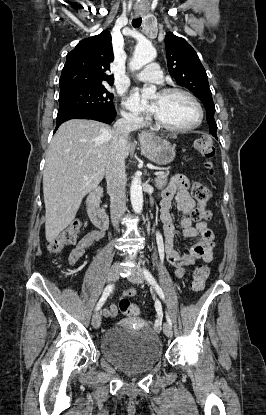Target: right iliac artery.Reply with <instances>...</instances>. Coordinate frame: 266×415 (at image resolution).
Segmentation results:
<instances>
[{
    "instance_id": "1",
    "label": "right iliac artery",
    "mask_w": 266,
    "mask_h": 415,
    "mask_svg": "<svg viewBox=\"0 0 266 415\" xmlns=\"http://www.w3.org/2000/svg\"><path fill=\"white\" fill-rule=\"evenodd\" d=\"M113 288H114V284H109V285L105 288V290H104V292H103V294H102V296H101V298H100L99 302L97 303V306H96V310H97V311H98V310H99V309L103 306V304L105 303V301H106L107 297H108V296H109V294L112 292Z\"/></svg>"
}]
</instances>
